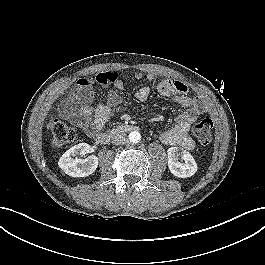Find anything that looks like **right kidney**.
I'll use <instances>...</instances> for the list:
<instances>
[{"label":"right kidney","mask_w":265,"mask_h":265,"mask_svg":"<svg viewBox=\"0 0 265 265\" xmlns=\"http://www.w3.org/2000/svg\"><path fill=\"white\" fill-rule=\"evenodd\" d=\"M87 143H79L67 150L59 159V167L69 176L86 177L91 175L98 166V158L91 155L86 159H79L75 156L84 155L91 151Z\"/></svg>","instance_id":"1"}]
</instances>
